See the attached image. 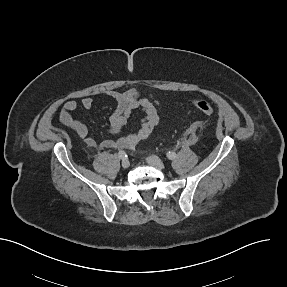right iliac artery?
<instances>
[{"mask_svg": "<svg viewBox=\"0 0 287 287\" xmlns=\"http://www.w3.org/2000/svg\"><path fill=\"white\" fill-rule=\"evenodd\" d=\"M118 156H119V158L123 159V158L127 157V154L125 151L121 150V151H119Z\"/></svg>", "mask_w": 287, "mask_h": 287, "instance_id": "obj_1", "label": "right iliac artery"}]
</instances>
